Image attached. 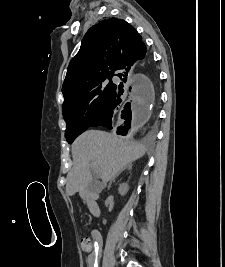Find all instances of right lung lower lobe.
<instances>
[{
    "label": "right lung lower lobe",
    "mask_w": 225,
    "mask_h": 267,
    "mask_svg": "<svg viewBox=\"0 0 225 267\" xmlns=\"http://www.w3.org/2000/svg\"><path fill=\"white\" fill-rule=\"evenodd\" d=\"M139 62L142 64L147 72L149 73L150 77L145 78V81L148 85H152V79H156V74L154 68L151 65V61L148 56H146V47L143 42L137 44L135 47L131 48L126 55L124 56L121 65L118 68V74L124 82L127 79H130V76L135 68V63ZM131 87H129V90ZM124 90L120 86H116L115 92L109 101L107 107L103 110V112L98 116V118L91 124L90 127L95 126H103L108 129H112L114 124L112 123L113 120V112L121 105L122 99L121 96L123 95ZM127 120V119H126ZM128 125V124H127ZM126 127H120L118 133L126 134L127 130Z\"/></svg>",
    "instance_id": "obj_1"
}]
</instances>
